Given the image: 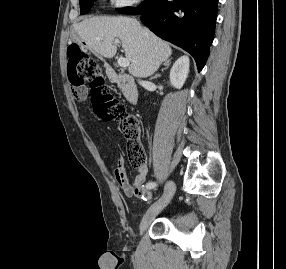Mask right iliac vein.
<instances>
[{
  "mask_svg": "<svg viewBox=\"0 0 286 269\" xmlns=\"http://www.w3.org/2000/svg\"><path fill=\"white\" fill-rule=\"evenodd\" d=\"M175 189V184L172 181H169L166 185L163 196L157 202L152 204L144 214L139 227L140 231H144L151 221L164 209L174 195Z\"/></svg>",
  "mask_w": 286,
  "mask_h": 269,
  "instance_id": "obj_1",
  "label": "right iliac vein"
}]
</instances>
